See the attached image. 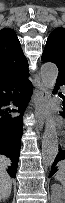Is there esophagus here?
Segmentation results:
<instances>
[{"instance_id":"obj_1","label":"esophagus","mask_w":65,"mask_h":203,"mask_svg":"<svg viewBox=\"0 0 65 203\" xmlns=\"http://www.w3.org/2000/svg\"><path fill=\"white\" fill-rule=\"evenodd\" d=\"M47 89L43 84L40 85L39 89L33 95V103L35 109V116L38 121V128L41 130L46 120L45 106L47 102Z\"/></svg>"}]
</instances>
